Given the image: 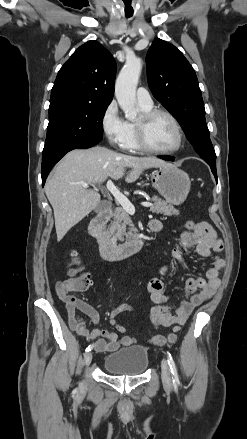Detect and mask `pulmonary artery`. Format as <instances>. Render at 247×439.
Listing matches in <instances>:
<instances>
[{
	"label": "pulmonary artery",
	"mask_w": 247,
	"mask_h": 439,
	"mask_svg": "<svg viewBox=\"0 0 247 439\" xmlns=\"http://www.w3.org/2000/svg\"><path fill=\"white\" fill-rule=\"evenodd\" d=\"M136 97H137V102L140 105L150 107L153 104L149 92L143 87L137 89Z\"/></svg>",
	"instance_id": "e3ab8cb5"
}]
</instances>
